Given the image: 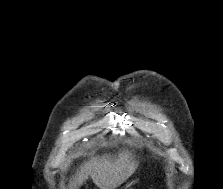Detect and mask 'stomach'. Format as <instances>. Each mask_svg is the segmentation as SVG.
<instances>
[{"label":"stomach","instance_id":"1","mask_svg":"<svg viewBox=\"0 0 223 189\" xmlns=\"http://www.w3.org/2000/svg\"><path fill=\"white\" fill-rule=\"evenodd\" d=\"M133 184L132 183H128L126 185H124L121 189H132Z\"/></svg>","mask_w":223,"mask_h":189}]
</instances>
